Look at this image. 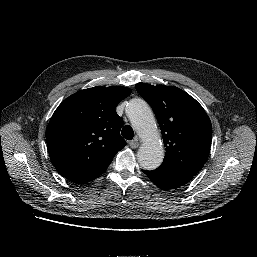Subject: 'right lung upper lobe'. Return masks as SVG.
<instances>
[{
  "label": "right lung upper lobe",
  "mask_w": 257,
  "mask_h": 257,
  "mask_svg": "<svg viewBox=\"0 0 257 257\" xmlns=\"http://www.w3.org/2000/svg\"><path fill=\"white\" fill-rule=\"evenodd\" d=\"M131 94L123 86H97L74 93L55 110L46 129L53 166L83 184L99 177L125 145L123 119L115 108Z\"/></svg>",
  "instance_id": "1"
}]
</instances>
